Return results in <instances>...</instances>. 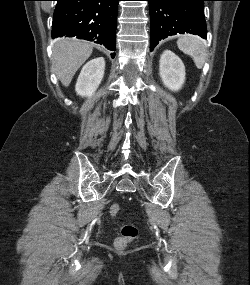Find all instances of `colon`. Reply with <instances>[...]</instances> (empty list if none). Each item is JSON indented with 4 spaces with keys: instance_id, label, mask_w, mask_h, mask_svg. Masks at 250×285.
<instances>
[{
    "instance_id": "obj_1",
    "label": "colon",
    "mask_w": 250,
    "mask_h": 285,
    "mask_svg": "<svg viewBox=\"0 0 250 285\" xmlns=\"http://www.w3.org/2000/svg\"><path fill=\"white\" fill-rule=\"evenodd\" d=\"M120 211L118 204L114 203L110 207V215L116 217ZM138 235V229L133 224H126L121 228V234L115 239V246L118 249H124L130 242H132Z\"/></svg>"
}]
</instances>
